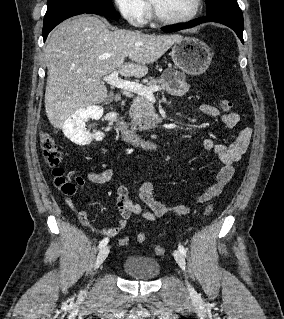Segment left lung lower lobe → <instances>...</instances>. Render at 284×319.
<instances>
[{
    "label": "left lung lower lobe",
    "mask_w": 284,
    "mask_h": 319,
    "mask_svg": "<svg viewBox=\"0 0 284 319\" xmlns=\"http://www.w3.org/2000/svg\"><path fill=\"white\" fill-rule=\"evenodd\" d=\"M205 22H218L223 25L230 27L237 34L242 43L243 40V15L235 14H216V15H207L205 17L198 18L190 23L180 24L175 26H168L162 28L166 32H174L182 29H187L199 25Z\"/></svg>",
    "instance_id": "0a47b994"
}]
</instances>
